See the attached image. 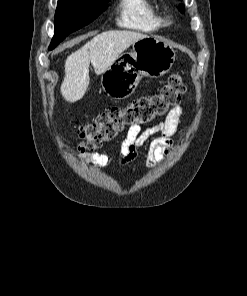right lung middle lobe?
Returning a JSON list of instances; mask_svg holds the SVG:
<instances>
[{"label":"right lung middle lobe","instance_id":"obj_1","mask_svg":"<svg viewBox=\"0 0 247 296\" xmlns=\"http://www.w3.org/2000/svg\"><path fill=\"white\" fill-rule=\"evenodd\" d=\"M110 0H58L55 34L49 50L55 48L71 32L95 20Z\"/></svg>","mask_w":247,"mask_h":296}]
</instances>
